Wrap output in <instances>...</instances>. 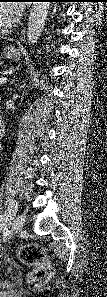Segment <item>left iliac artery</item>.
Listing matches in <instances>:
<instances>
[{
    "instance_id": "left-iliac-artery-1",
    "label": "left iliac artery",
    "mask_w": 107,
    "mask_h": 297,
    "mask_svg": "<svg viewBox=\"0 0 107 297\" xmlns=\"http://www.w3.org/2000/svg\"><path fill=\"white\" fill-rule=\"evenodd\" d=\"M17 211V203L15 200L11 199L9 201L8 210L5 212L3 216H1V224H0V230L3 232V236L6 237L8 235V229L6 227V223L9 220V218H12L14 214Z\"/></svg>"
}]
</instances>
